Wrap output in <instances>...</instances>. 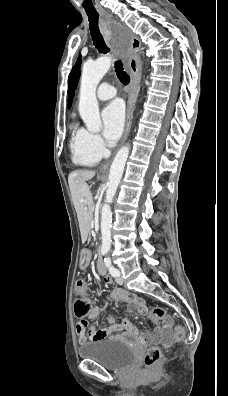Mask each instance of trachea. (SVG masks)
I'll return each instance as SVG.
<instances>
[{
    "label": "trachea",
    "instance_id": "obj_1",
    "mask_svg": "<svg viewBox=\"0 0 228 396\" xmlns=\"http://www.w3.org/2000/svg\"><path fill=\"white\" fill-rule=\"evenodd\" d=\"M86 14L89 18V29L91 32V37L93 40V44L95 48L99 51V53L107 54L110 49L107 47L104 38L99 30L98 20L99 14L96 10L94 11H86ZM115 72L120 80V82L124 85H127L130 81L129 75L124 71L123 64L121 61L115 62Z\"/></svg>",
    "mask_w": 228,
    "mask_h": 396
}]
</instances>
